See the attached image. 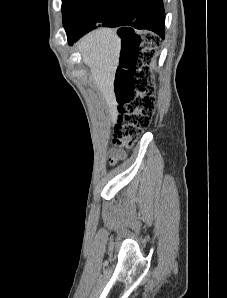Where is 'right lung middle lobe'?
<instances>
[{
	"label": "right lung middle lobe",
	"mask_w": 227,
	"mask_h": 298,
	"mask_svg": "<svg viewBox=\"0 0 227 298\" xmlns=\"http://www.w3.org/2000/svg\"><path fill=\"white\" fill-rule=\"evenodd\" d=\"M107 0H62L63 24L67 34L78 31Z\"/></svg>",
	"instance_id": "dd1d6c3e"
}]
</instances>
